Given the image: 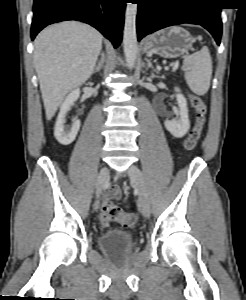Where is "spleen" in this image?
I'll return each instance as SVG.
<instances>
[{
  "label": "spleen",
  "instance_id": "spleen-1",
  "mask_svg": "<svg viewBox=\"0 0 246 300\" xmlns=\"http://www.w3.org/2000/svg\"><path fill=\"white\" fill-rule=\"evenodd\" d=\"M185 80L196 95H205L210 88L212 77V59L209 49L203 46L196 53L188 55L183 61Z\"/></svg>",
  "mask_w": 246,
  "mask_h": 300
}]
</instances>
